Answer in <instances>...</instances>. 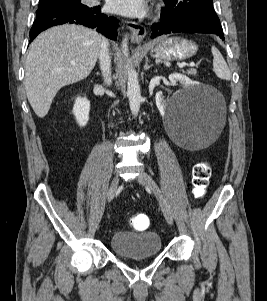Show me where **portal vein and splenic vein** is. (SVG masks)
I'll return each instance as SVG.
<instances>
[{
    "label": "portal vein and splenic vein",
    "mask_w": 267,
    "mask_h": 301,
    "mask_svg": "<svg viewBox=\"0 0 267 301\" xmlns=\"http://www.w3.org/2000/svg\"><path fill=\"white\" fill-rule=\"evenodd\" d=\"M190 67H195V63L188 64ZM184 65H180V68H182Z\"/></svg>",
    "instance_id": "18ae733b"
}]
</instances>
